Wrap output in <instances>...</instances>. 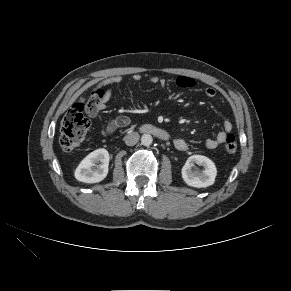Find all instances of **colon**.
I'll return each mask as SVG.
<instances>
[{"mask_svg":"<svg viewBox=\"0 0 291 291\" xmlns=\"http://www.w3.org/2000/svg\"><path fill=\"white\" fill-rule=\"evenodd\" d=\"M94 100L90 97L89 103ZM84 101H78L72 105L62 120L60 128V145L66 152L75 150L85 139L90 127V120L87 116L88 105ZM118 124H126L127 118H117ZM224 149L229 155H234L237 151V143L232 134H228L225 139Z\"/></svg>","mask_w":291,"mask_h":291,"instance_id":"colon-1","label":"colon"}]
</instances>
